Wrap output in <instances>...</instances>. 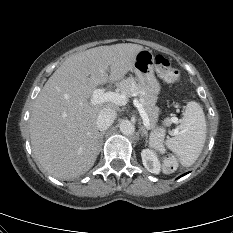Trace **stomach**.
Returning a JSON list of instances; mask_svg holds the SVG:
<instances>
[{"label":"stomach","instance_id":"stomach-1","mask_svg":"<svg viewBox=\"0 0 233 233\" xmlns=\"http://www.w3.org/2000/svg\"><path fill=\"white\" fill-rule=\"evenodd\" d=\"M154 55L150 49H143L137 53L132 72L143 90L155 98L160 92V84L154 75Z\"/></svg>","mask_w":233,"mask_h":233}]
</instances>
